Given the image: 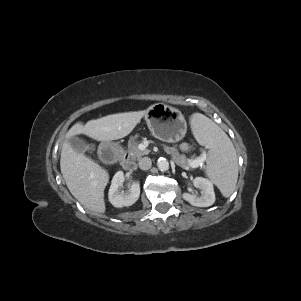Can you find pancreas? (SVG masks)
<instances>
[{
  "label": "pancreas",
  "instance_id": "pancreas-1",
  "mask_svg": "<svg viewBox=\"0 0 301 301\" xmlns=\"http://www.w3.org/2000/svg\"><path fill=\"white\" fill-rule=\"evenodd\" d=\"M139 142L135 140V138H131L128 142V153L132 159H140L142 156L147 155L149 150L142 151L138 148ZM166 153L172 156V159L175 161L177 165L184 169H189L191 166V162L194 160L193 158H186L185 155L180 154L176 149L168 147L166 145L163 146Z\"/></svg>",
  "mask_w": 301,
  "mask_h": 301
}]
</instances>
